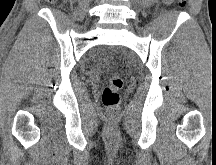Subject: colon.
<instances>
[{
    "instance_id": "1",
    "label": "colon",
    "mask_w": 216,
    "mask_h": 165,
    "mask_svg": "<svg viewBox=\"0 0 216 165\" xmlns=\"http://www.w3.org/2000/svg\"><path fill=\"white\" fill-rule=\"evenodd\" d=\"M49 3H54L55 0H47ZM178 5L184 8L187 5V0H178ZM124 85L122 76L119 73H113L109 77L107 85L102 91V103L106 108L109 118H115L119 112L120 90Z\"/></svg>"
}]
</instances>
